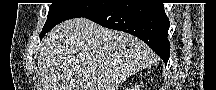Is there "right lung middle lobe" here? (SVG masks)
<instances>
[{"label":"right lung middle lobe","instance_id":"1","mask_svg":"<svg viewBox=\"0 0 216 90\" xmlns=\"http://www.w3.org/2000/svg\"><path fill=\"white\" fill-rule=\"evenodd\" d=\"M111 5L112 4H51L48 19L42 29L40 39L62 21L76 17H87L103 11Z\"/></svg>","mask_w":216,"mask_h":90}]
</instances>
